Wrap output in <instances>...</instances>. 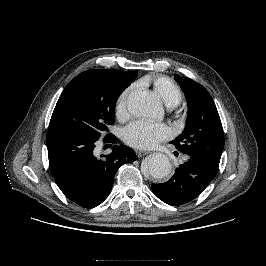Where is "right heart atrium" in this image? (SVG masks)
Returning <instances> with one entry per match:
<instances>
[{"mask_svg":"<svg viewBox=\"0 0 266 266\" xmlns=\"http://www.w3.org/2000/svg\"><path fill=\"white\" fill-rule=\"evenodd\" d=\"M131 90V88L125 89L117 98L115 104V114L119 120H125L128 116V101Z\"/></svg>","mask_w":266,"mask_h":266,"instance_id":"d8ad5b80","label":"right heart atrium"}]
</instances>
